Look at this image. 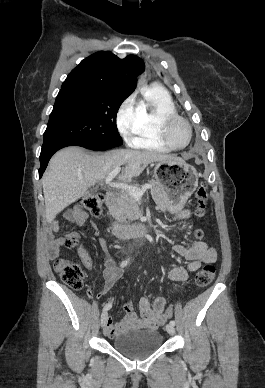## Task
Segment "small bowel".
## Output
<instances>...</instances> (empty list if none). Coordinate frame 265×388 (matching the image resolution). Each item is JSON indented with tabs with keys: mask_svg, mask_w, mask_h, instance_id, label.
I'll use <instances>...</instances> for the list:
<instances>
[{
	"mask_svg": "<svg viewBox=\"0 0 265 388\" xmlns=\"http://www.w3.org/2000/svg\"><path fill=\"white\" fill-rule=\"evenodd\" d=\"M64 218L75 224L79 230L68 232L65 236L55 237L49 242L48 253L53 259L59 256L60 249L62 247H76L80 256V259L89 271L93 270V261L80 241L81 235L89 237L95 234L94 230H88L85 228V221L87 216L85 212L81 211L78 207L67 210L64 213ZM191 216V210L188 208H180L172 214L173 219H186ZM51 229L54 232L59 230L58 221L51 223ZM99 245L104 254V270H103V283L101 295L107 294L116 284V282L122 277L123 269L119 268L114 258L109 251V245L104 238H99ZM173 250L185 258L188 261L186 267H174L169 272V278L172 281L182 282L189 278V274L199 270L203 263H213L216 261L217 253L214 248L209 247L204 241H197L190 247H186L182 244H175ZM87 295L90 298H94V295L90 288L87 289ZM113 305V299L108 298L105 302V306ZM166 307V298L158 297L151 304L147 297H141L139 300L140 315L134 312L133 304L126 302L124 304L125 316L118 323H113L112 319L108 317L104 333L107 336H116L131 329H156L163 325L166 320L164 315V309Z\"/></svg>",
	"mask_w": 265,
	"mask_h": 388,
	"instance_id": "obj_1",
	"label": "small bowel"
}]
</instances>
